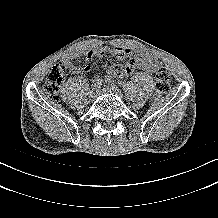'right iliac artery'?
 <instances>
[{
  "mask_svg": "<svg viewBox=\"0 0 218 218\" xmlns=\"http://www.w3.org/2000/svg\"><path fill=\"white\" fill-rule=\"evenodd\" d=\"M101 85H102V81L101 80H98V79L94 80L93 81V85H92V90L93 91L99 90Z\"/></svg>",
  "mask_w": 218,
  "mask_h": 218,
  "instance_id": "82829eb1",
  "label": "right iliac artery"
}]
</instances>
